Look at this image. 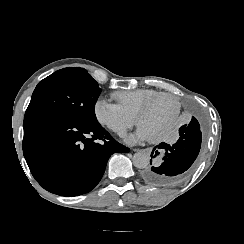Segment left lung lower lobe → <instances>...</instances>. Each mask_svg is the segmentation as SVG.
I'll return each instance as SVG.
<instances>
[{"label":"left lung lower lobe","instance_id":"left-lung-lower-lobe-1","mask_svg":"<svg viewBox=\"0 0 244 244\" xmlns=\"http://www.w3.org/2000/svg\"><path fill=\"white\" fill-rule=\"evenodd\" d=\"M179 135L180 138L175 144L162 142L153 149L152 157L159 154L158 149H164L166 153L160 166H147L141 171L140 176L145 183L171 188L188 176L201 148L202 133L198 120L192 117L189 124L179 129Z\"/></svg>","mask_w":244,"mask_h":244}]
</instances>
